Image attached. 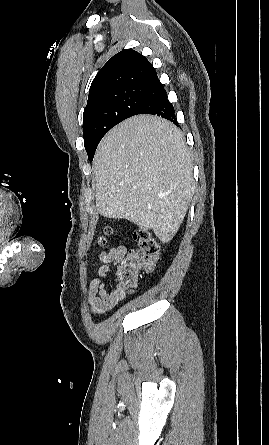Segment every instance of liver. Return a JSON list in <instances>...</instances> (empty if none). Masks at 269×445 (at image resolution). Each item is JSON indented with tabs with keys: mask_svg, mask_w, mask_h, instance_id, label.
Segmentation results:
<instances>
[{
	"mask_svg": "<svg viewBox=\"0 0 269 445\" xmlns=\"http://www.w3.org/2000/svg\"><path fill=\"white\" fill-rule=\"evenodd\" d=\"M96 207L168 243L195 192L192 155L180 129L157 116H133L109 131L94 157Z\"/></svg>",
	"mask_w": 269,
	"mask_h": 445,
	"instance_id": "obj_1",
	"label": "liver"
}]
</instances>
